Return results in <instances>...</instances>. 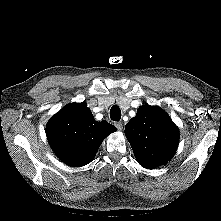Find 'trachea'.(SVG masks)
Returning <instances> with one entry per match:
<instances>
[{
	"instance_id": "obj_1",
	"label": "trachea",
	"mask_w": 221,
	"mask_h": 221,
	"mask_svg": "<svg viewBox=\"0 0 221 221\" xmlns=\"http://www.w3.org/2000/svg\"><path fill=\"white\" fill-rule=\"evenodd\" d=\"M110 118L113 121H119L121 119V110L117 105L112 106L110 109Z\"/></svg>"
}]
</instances>
